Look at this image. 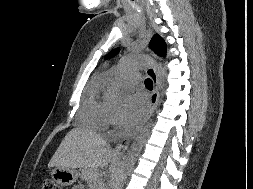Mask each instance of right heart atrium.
<instances>
[{
    "label": "right heart atrium",
    "instance_id": "right-heart-atrium-1",
    "mask_svg": "<svg viewBox=\"0 0 253 189\" xmlns=\"http://www.w3.org/2000/svg\"><path fill=\"white\" fill-rule=\"evenodd\" d=\"M118 123V116L114 113H110L109 124L116 125Z\"/></svg>",
    "mask_w": 253,
    "mask_h": 189
}]
</instances>
